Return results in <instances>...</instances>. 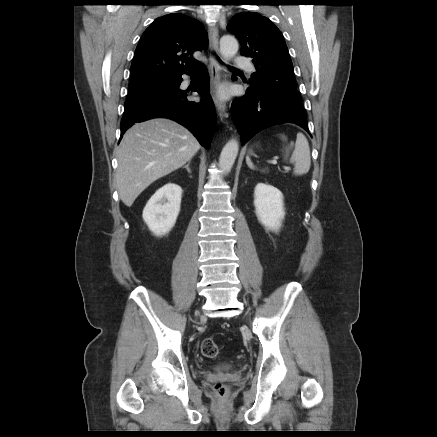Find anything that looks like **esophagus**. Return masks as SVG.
Instances as JSON below:
<instances>
[{"mask_svg": "<svg viewBox=\"0 0 437 437\" xmlns=\"http://www.w3.org/2000/svg\"><path fill=\"white\" fill-rule=\"evenodd\" d=\"M208 34L210 39V48H211V56H210V64H209V72H210V83H211V94L221 119L226 117L227 106L226 103L218 97L217 91L220 85V71L221 65L217 58L219 53V34L218 28L215 24H210L208 27Z\"/></svg>", "mask_w": 437, "mask_h": 437, "instance_id": "1", "label": "esophagus"}]
</instances>
